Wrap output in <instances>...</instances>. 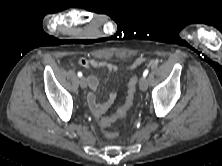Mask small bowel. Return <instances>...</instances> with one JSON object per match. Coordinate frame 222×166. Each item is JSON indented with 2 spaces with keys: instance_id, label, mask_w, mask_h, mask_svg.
Here are the masks:
<instances>
[{
  "instance_id": "1",
  "label": "small bowel",
  "mask_w": 222,
  "mask_h": 166,
  "mask_svg": "<svg viewBox=\"0 0 222 166\" xmlns=\"http://www.w3.org/2000/svg\"><path fill=\"white\" fill-rule=\"evenodd\" d=\"M145 62L144 57H138L135 59V61L128 66L126 69L127 70H133L136 67L140 66ZM78 63L85 68H106L109 73H113L117 71L118 67L112 63H107L105 61H97L94 59H86V58H81L78 60ZM88 85H89V93L87 95V103L89 105V108L92 112V114L96 117L99 118L101 117L114 103V101L117 98V93L112 91L110 92L108 98L104 102H99L96 98V90L99 85V80L96 76L94 75H89L88 78Z\"/></svg>"
}]
</instances>
